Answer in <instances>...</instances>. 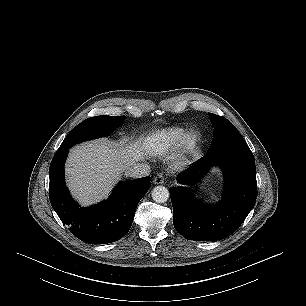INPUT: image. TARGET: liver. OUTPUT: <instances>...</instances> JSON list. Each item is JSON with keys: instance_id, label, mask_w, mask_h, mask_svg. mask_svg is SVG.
<instances>
[{"instance_id": "1", "label": "liver", "mask_w": 306, "mask_h": 306, "mask_svg": "<svg viewBox=\"0 0 306 306\" xmlns=\"http://www.w3.org/2000/svg\"><path fill=\"white\" fill-rule=\"evenodd\" d=\"M164 136L153 133L128 146L100 139L70 150L66 164L69 188L82 205L107 197L114 183L138 161L164 154ZM177 168V164H173Z\"/></svg>"}]
</instances>
